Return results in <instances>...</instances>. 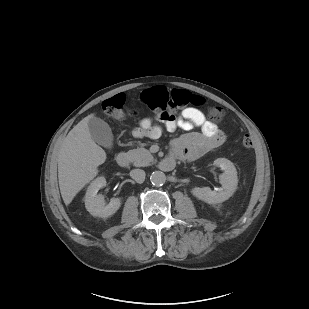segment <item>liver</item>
Returning <instances> with one entry per match:
<instances>
[{
  "label": "liver",
  "instance_id": "6515ba94",
  "mask_svg": "<svg viewBox=\"0 0 309 309\" xmlns=\"http://www.w3.org/2000/svg\"><path fill=\"white\" fill-rule=\"evenodd\" d=\"M82 119L66 136L58 154V180L62 199L69 205L77 193L98 174L105 151L91 137L88 121Z\"/></svg>",
  "mask_w": 309,
  "mask_h": 309
}]
</instances>
